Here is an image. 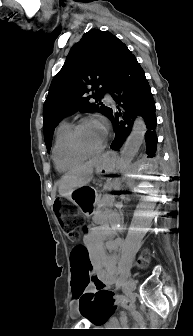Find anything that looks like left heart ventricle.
<instances>
[{
  "label": "left heart ventricle",
  "instance_id": "1",
  "mask_svg": "<svg viewBox=\"0 0 193 336\" xmlns=\"http://www.w3.org/2000/svg\"><path fill=\"white\" fill-rule=\"evenodd\" d=\"M104 137V128L98 123L85 125L78 134L80 144L87 150L97 149L102 144Z\"/></svg>",
  "mask_w": 193,
  "mask_h": 336
}]
</instances>
